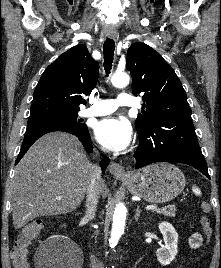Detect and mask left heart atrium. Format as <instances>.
I'll return each mask as SVG.
<instances>
[{
  "instance_id": "39dd6f15",
  "label": "left heart atrium",
  "mask_w": 221,
  "mask_h": 268,
  "mask_svg": "<svg viewBox=\"0 0 221 268\" xmlns=\"http://www.w3.org/2000/svg\"><path fill=\"white\" fill-rule=\"evenodd\" d=\"M95 135L98 142L105 148L123 151L132 141V128L124 119L109 117L97 123Z\"/></svg>"
}]
</instances>
